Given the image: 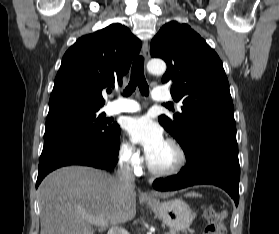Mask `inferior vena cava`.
Wrapping results in <instances>:
<instances>
[{"mask_svg":"<svg viewBox=\"0 0 279 234\" xmlns=\"http://www.w3.org/2000/svg\"><path fill=\"white\" fill-rule=\"evenodd\" d=\"M117 178L126 187H135V177L133 174V169L130 167L129 162L120 163ZM108 234H129L124 228L119 227L116 223L108 230Z\"/></svg>","mask_w":279,"mask_h":234,"instance_id":"1","label":"inferior vena cava"}]
</instances>
